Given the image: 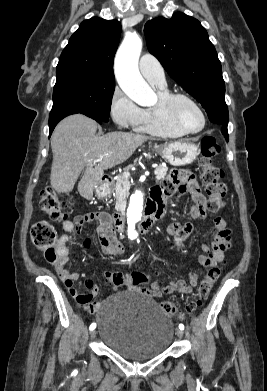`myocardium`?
Segmentation results:
<instances>
[{
    "label": "myocardium",
    "instance_id": "f54148a6",
    "mask_svg": "<svg viewBox=\"0 0 267 391\" xmlns=\"http://www.w3.org/2000/svg\"><path fill=\"white\" fill-rule=\"evenodd\" d=\"M181 100L192 104L200 112V114L202 116V120H203V123H202V126L200 129H198L196 131L188 130L177 119L175 112H174V106L178 101H181ZM158 108H159L160 112L162 113V115L173 126H175L177 129H179L180 131H182L185 134H198V133L202 132L207 125V117H206L204 109L195 99H193L191 96H189L187 94L169 93L167 96H165L159 100Z\"/></svg>",
    "mask_w": 267,
    "mask_h": 391
}]
</instances>
